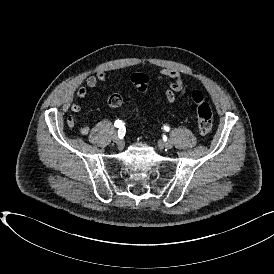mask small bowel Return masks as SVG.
<instances>
[{"label":"small bowel","instance_id":"1","mask_svg":"<svg viewBox=\"0 0 274 274\" xmlns=\"http://www.w3.org/2000/svg\"><path fill=\"white\" fill-rule=\"evenodd\" d=\"M158 79L161 82L167 81V87L164 89V96L168 103H177L187 92L188 85L185 82L183 75L180 71L172 68H161L158 71ZM108 81V75L105 71H98L94 75H90L85 80L84 84L80 85L75 94V99L71 103V110L75 113L81 110L79 100L84 99L87 96L89 89L96 88L100 83ZM90 131V125L83 123L80 126V132L83 135L88 134Z\"/></svg>","mask_w":274,"mask_h":274}]
</instances>
